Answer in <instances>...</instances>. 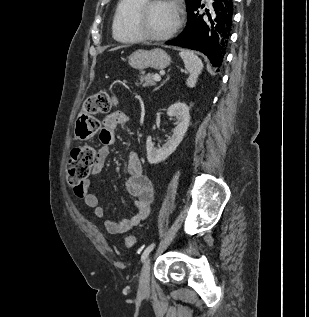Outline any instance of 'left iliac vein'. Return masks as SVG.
Here are the masks:
<instances>
[{"mask_svg": "<svg viewBox=\"0 0 309 317\" xmlns=\"http://www.w3.org/2000/svg\"><path fill=\"white\" fill-rule=\"evenodd\" d=\"M151 257L144 261L141 276H140V291L147 293L149 291V276H150Z\"/></svg>", "mask_w": 309, "mask_h": 317, "instance_id": "4c4485c4", "label": "left iliac vein"}]
</instances>
